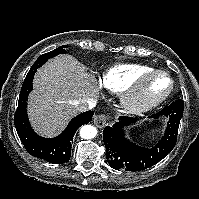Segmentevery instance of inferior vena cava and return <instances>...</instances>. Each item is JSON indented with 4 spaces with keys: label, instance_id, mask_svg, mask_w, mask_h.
Masks as SVG:
<instances>
[{
    "label": "inferior vena cava",
    "instance_id": "inferior-vena-cava-1",
    "mask_svg": "<svg viewBox=\"0 0 199 199\" xmlns=\"http://www.w3.org/2000/svg\"><path fill=\"white\" fill-rule=\"evenodd\" d=\"M96 101L93 99H88L86 101H80L76 103V108L80 112H85L91 110L95 107Z\"/></svg>",
    "mask_w": 199,
    "mask_h": 199
}]
</instances>
